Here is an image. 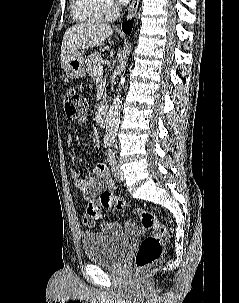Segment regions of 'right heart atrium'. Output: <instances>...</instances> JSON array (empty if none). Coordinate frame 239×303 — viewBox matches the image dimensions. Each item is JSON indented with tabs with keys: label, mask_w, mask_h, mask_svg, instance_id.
I'll return each mask as SVG.
<instances>
[{
	"label": "right heart atrium",
	"mask_w": 239,
	"mask_h": 303,
	"mask_svg": "<svg viewBox=\"0 0 239 303\" xmlns=\"http://www.w3.org/2000/svg\"><path fill=\"white\" fill-rule=\"evenodd\" d=\"M99 8L105 17H112L118 11V6L114 0H97Z\"/></svg>",
	"instance_id": "obj_1"
}]
</instances>
